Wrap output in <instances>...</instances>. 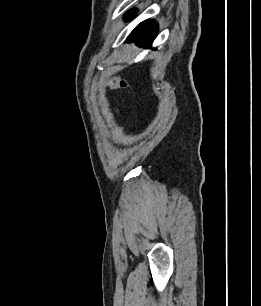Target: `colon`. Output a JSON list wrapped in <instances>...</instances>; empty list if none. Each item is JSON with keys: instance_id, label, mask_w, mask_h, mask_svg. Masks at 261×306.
<instances>
[{"instance_id": "5ec220e1", "label": "colon", "mask_w": 261, "mask_h": 306, "mask_svg": "<svg viewBox=\"0 0 261 306\" xmlns=\"http://www.w3.org/2000/svg\"><path fill=\"white\" fill-rule=\"evenodd\" d=\"M110 85L117 88H127L129 86V84L124 80H112ZM116 133H120V128H117Z\"/></svg>"}]
</instances>
